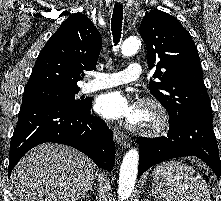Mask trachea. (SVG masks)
<instances>
[{
	"label": "trachea",
	"mask_w": 221,
	"mask_h": 201,
	"mask_svg": "<svg viewBox=\"0 0 221 201\" xmlns=\"http://www.w3.org/2000/svg\"><path fill=\"white\" fill-rule=\"evenodd\" d=\"M123 20V6L122 4H116L113 9L111 19V31L113 35V42L117 45L121 38Z\"/></svg>",
	"instance_id": "trachea-1"
}]
</instances>
